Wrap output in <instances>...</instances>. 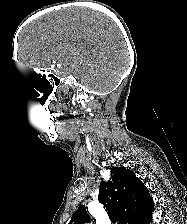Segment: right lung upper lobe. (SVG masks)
<instances>
[{
    "label": "right lung upper lobe",
    "mask_w": 187,
    "mask_h": 224,
    "mask_svg": "<svg viewBox=\"0 0 187 224\" xmlns=\"http://www.w3.org/2000/svg\"><path fill=\"white\" fill-rule=\"evenodd\" d=\"M112 179L100 183L98 200L106 207L111 220L117 224H134L153 211L154 203L148 189L133 172L124 167L111 168ZM84 205L78 207L69 224L89 222Z\"/></svg>",
    "instance_id": "1"
}]
</instances>
